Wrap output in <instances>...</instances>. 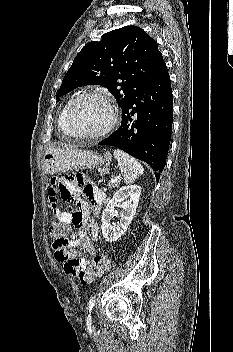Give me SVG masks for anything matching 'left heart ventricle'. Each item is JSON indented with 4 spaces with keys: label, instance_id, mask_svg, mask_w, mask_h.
Returning a JSON list of instances; mask_svg holds the SVG:
<instances>
[{
    "label": "left heart ventricle",
    "instance_id": "obj_1",
    "mask_svg": "<svg viewBox=\"0 0 233 352\" xmlns=\"http://www.w3.org/2000/svg\"><path fill=\"white\" fill-rule=\"evenodd\" d=\"M111 119L109 106L95 98H85L74 108L72 126L78 133H94L103 129Z\"/></svg>",
    "mask_w": 233,
    "mask_h": 352
}]
</instances>
